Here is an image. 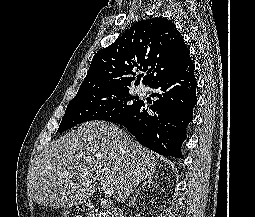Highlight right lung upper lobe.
Listing matches in <instances>:
<instances>
[{"instance_id": "1", "label": "right lung upper lobe", "mask_w": 255, "mask_h": 217, "mask_svg": "<svg viewBox=\"0 0 255 217\" xmlns=\"http://www.w3.org/2000/svg\"><path fill=\"white\" fill-rule=\"evenodd\" d=\"M190 59V51L176 25L162 17L132 26L110 46L93 57L78 92L130 87L137 71H147L142 83L149 85Z\"/></svg>"}]
</instances>
